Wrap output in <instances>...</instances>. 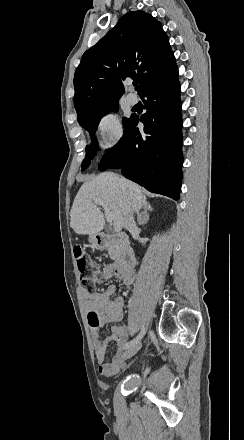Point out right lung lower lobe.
I'll list each match as a JSON object with an SVG mask.
<instances>
[{"instance_id":"obj_1","label":"right lung lower lobe","mask_w":244,"mask_h":440,"mask_svg":"<svg viewBox=\"0 0 244 440\" xmlns=\"http://www.w3.org/2000/svg\"><path fill=\"white\" fill-rule=\"evenodd\" d=\"M178 69L172 63L152 74L138 94L146 113L131 116L120 142L101 159L99 170L121 168L147 190L179 199L182 179V119ZM144 124L143 132L137 128Z\"/></svg>"}]
</instances>
